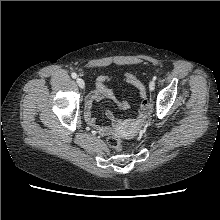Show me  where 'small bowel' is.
Listing matches in <instances>:
<instances>
[{"label":"small bowel","instance_id":"c3829d8e","mask_svg":"<svg viewBox=\"0 0 220 220\" xmlns=\"http://www.w3.org/2000/svg\"><path fill=\"white\" fill-rule=\"evenodd\" d=\"M112 81L113 80L107 76H99L97 78L96 89L86 96L85 102H84L85 121L87 122L88 125L95 128L101 134H106L108 131V128L106 126L100 125L97 122L92 111V104L94 101L103 99V98H108L112 100L114 103H116L122 109L129 108L128 101L124 99H118L113 93L112 89L108 87V84L111 83ZM122 82L131 84L135 87V89L137 90L142 100V104H141V111H142L143 101L147 100L145 85L138 78V76L132 72H127L124 75ZM109 117L112 118L113 114L109 113Z\"/></svg>","mask_w":220,"mask_h":220}]
</instances>
